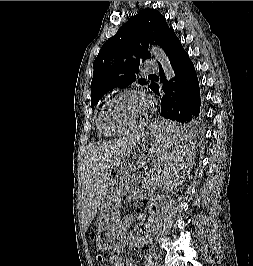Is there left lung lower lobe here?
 Returning a JSON list of instances; mask_svg holds the SVG:
<instances>
[{
    "mask_svg": "<svg viewBox=\"0 0 253 266\" xmlns=\"http://www.w3.org/2000/svg\"><path fill=\"white\" fill-rule=\"evenodd\" d=\"M163 50L166 52L175 73V83H168L163 69H160V82L165 94L161 99L160 116L165 122L174 121L165 134L172 140L187 139L197 125L200 113V89L194 65L183 49L174 31L168 37ZM159 94V86L152 89Z\"/></svg>",
    "mask_w": 253,
    "mask_h": 266,
    "instance_id": "1",
    "label": "left lung lower lobe"
}]
</instances>
